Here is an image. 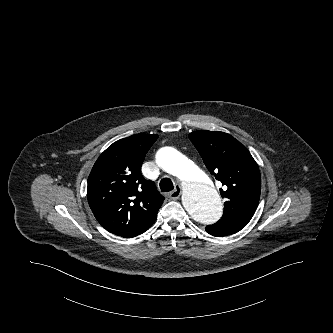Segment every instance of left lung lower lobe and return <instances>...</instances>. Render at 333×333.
Here are the masks:
<instances>
[{
    "label": "left lung lower lobe",
    "mask_w": 333,
    "mask_h": 333,
    "mask_svg": "<svg viewBox=\"0 0 333 333\" xmlns=\"http://www.w3.org/2000/svg\"><path fill=\"white\" fill-rule=\"evenodd\" d=\"M241 229L242 228H240V227L231 226L228 224H218V223H215L213 225H208L206 227V231L210 235L217 236V237L231 235V234L237 233Z\"/></svg>",
    "instance_id": "left-lung-lower-lobe-1"
}]
</instances>
